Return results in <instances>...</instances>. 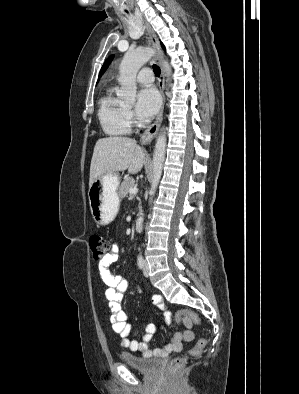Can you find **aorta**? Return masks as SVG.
I'll use <instances>...</instances> for the list:
<instances>
[{"label":"aorta","mask_w":299,"mask_h":394,"mask_svg":"<svg viewBox=\"0 0 299 394\" xmlns=\"http://www.w3.org/2000/svg\"><path fill=\"white\" fill-rule=\"evenodd\" d=\"M154 55V50L151 48H142L135 51L127 52L120 64L119 67V83L121 85V89L118 93V96L126 102L133 103L136 97V75L139 69L151 59ZM164 69L166 71V75L169 77L171 75V68L167 61L163 62ZM165 149H166V136L165 130L162 129L160 132L154 149L153 155V179L150 189V201L152 202L153 196L156 192L157 185L159 183L163 163L165 160Z\"/></svg>","instance_id":"obj_1"}]
</instances>
